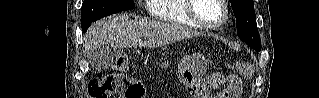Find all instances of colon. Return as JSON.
Listing matches in <instances>:
<instances>
[{
    "label": "colon",
    "mask_w": 319,
    "mask_h": 98,
    "mask_svg": "<svg viewBox=\"0 0 319 98\" xmlns=\"http://www.w3.org/2000/svg\"><path fill=\"white\" fill-rule=\"evenodd\" d=\"M128 66V60L123 52H119L116 57V67L120 73H109L95 78L89 82L88 94L90 98H144L145 88L137 80L131 79L122 72ZM240 71L247 75L249 66L246 64L239 65ZM240 92L239 82L234 81V86L224 91L219 98H235Z\"/></svg>",
    "instance_id": "1"
}]
</instances>
